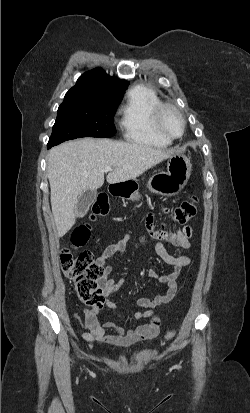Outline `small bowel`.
<instances>
[{
	"instance_id": "obj_1",
	"label": "small bowel",
	"mask_w": 250,
	"mask_h": 413,
	"mask_svg": "<svg viewBox=\"0 0 250 413\" xmlns=\"http://www.w3.org/2000/svg\"><path fill=\"white\" fill-rule=\"evenodd\" d=\"M167 211V210H166ZM153 217H147L146 233L149 238H156L155 252L168 265L173 266V271L159 275L156 268L151 266L147 270V275L159 283L165 284L167 290L162 295L154 298L141 297L137 299L136 305L140 309L129 316L118 312L117 305L110 299L123 284L124 280L115 281L109 278L112 266L107 265V261L116 254L123 252L129 236H124L120 241L108 245L102 254L96 259V263L105 270L99 284L103 293V303L107 308L114 311L120 319L140 320L149 318L148 323L137 326L133 329H125L113 322L101 323L98 319L100 308L84 309V327L86 332L82 333V338L88 343H104L109 346L128 348L140 342L151 340L159 334L160 318L155 309L170 303L177 295L178 287L176 280L184 267L192 263V259L184 254L172 255L165 248L164 242L174 246L178 250L189 249L192 247L191 237L193 229L187 225L180 229H159L155 231L152 226Z\"/></svg>"
}]
</instances>
